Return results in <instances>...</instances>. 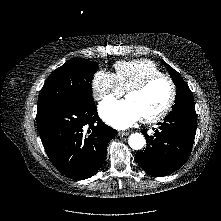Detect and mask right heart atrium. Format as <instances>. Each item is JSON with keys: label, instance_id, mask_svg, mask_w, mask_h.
<instances>
[{"label": "right heart atrium", "instance_id": "right-heart-atrium-1", "mask_svg": "<svg viewBox=\"0 0 221 221\" xmlns=\"http://www.w3.org/2000/svg\"><path fill=\"white\" fill-rule=\"evenodd\" d=\"M92 91L98 101L120 96L124 92L115 74L105 70H99L94 74Z\"/></svg>", "mask_w": 221, "mask_h": 221}]
</instances>
